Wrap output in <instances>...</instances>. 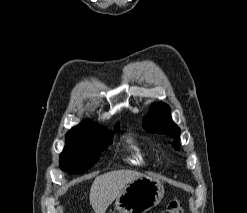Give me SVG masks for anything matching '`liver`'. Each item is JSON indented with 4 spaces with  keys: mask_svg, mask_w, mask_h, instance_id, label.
Masks as SVG:
<instances>
[{
    "mask_svg": "<svg viewBox=\"0 0 247 213\" xmlns=\"http://www.w3.org/2000/svg\"><path fill=\"white\" fill-rule=\"evenodd\" d=\"M145 175L132 170H117L97 176L90 189V204L95 213H105L124 187Z\"/></svg>",
    "mask_w": 247,
    "mask_h": 213,
    "instance_id": "liver-1",
    "label": "liver"
}]
</instances>
